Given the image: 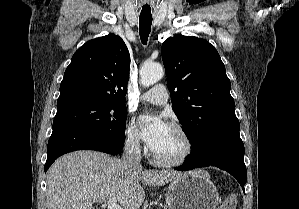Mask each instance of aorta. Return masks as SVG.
<instances>
[{
	"label": "aorta",
	"mask_w": 299,
	"mask_h": 209,
	"mask_svg": "<svg viewBox=\"0 0 299 209\" xmlns=\"http://www.w3.org/2000/svg\"><path fill=\"white\" fill-rule=\"evenodd\" d=\"M164 69L157 63H145L140 70V82L143 86L149 87L162 79Z\"/></svg>",
	"instance_id": "obj_1"
}]
</instances>
